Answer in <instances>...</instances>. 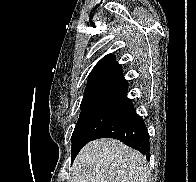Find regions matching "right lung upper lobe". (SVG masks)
<instances>
[{"label":"right lung upper lobe","mask_w":196,"mask_h":182,"mask_svg":"<svg viewBox=\"0 0 196 182\" xmlns=\"http://www.w3.org/2000/svg\"><path fill=\"white\" fill-rule=\"evenodd\" d=\"M128 82L113 55L103 57L89 75L81 107L99 103L133 106L127 98Z\"/></svg>","instance_id":"1"}]
</instances>
